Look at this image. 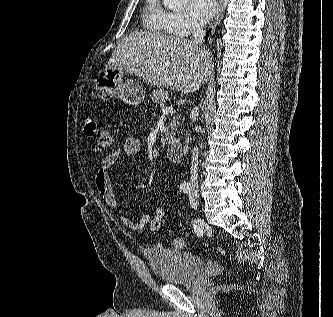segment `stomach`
<instances>
[{
    "mask_svg": "<svg viewBox=\"0 0 333 317\" xmlns=\"http://www.w3.org/2000/svg\"><path fill=\"white\" fill-rule=\"evenodd\" d=\"M123 71L104 69L98 73L94 81L95 89L103 94L119 98L130 105L143 102L145 92L142 85L135 79L122 83Z\"/></svg>",
    "mask_w": 333,
    "mask_h": 317,
    "instance_id": "1",
    "label": "stomach"
}]
</instances>
